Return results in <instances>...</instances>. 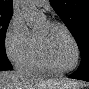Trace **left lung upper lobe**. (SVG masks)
Returning <instances> with one entry per match:
<instances>
[{"mask_svg":"<svg viewBox=\"0 0 89 89\" xmlns=\"http://www.w3.org/2000/svg\"><path fill=\"white\" fill-rule=\"evenodd\" d=\"M50 3L74 36L81 57L89 55V0H50Z\"/></svg>","mask_w":89,"mask_h":89,"instance_id":"obj_1","label":"left lung upper lobe"}]
</instances>
